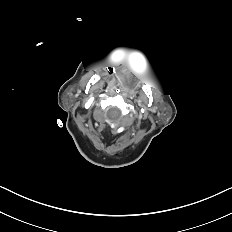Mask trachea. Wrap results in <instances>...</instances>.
<instances>
[{"mask_svg": "<svg viewBox=\"0 0 232 232\" xmlns=\"http://www.w3.org/2000/svg\"><path fill=\"white\" fill-rule=\"evenodd\" d=\"M110 74H114V71L112 68L109 69Z\"/></svg>", "mask_w": 232, "mask_h": 232, "instance_id": "trachea-1", "label": "trachea"}]
</instances>
